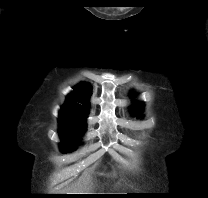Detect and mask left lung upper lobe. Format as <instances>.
I'll return each mask as SVG.
<instances>
[{
    "mask_svg": "<svg viewBox=\"0 0 208 198\" xmlns=\"http://www.w3.org/2000/svg\"><path fill=\"white\" fill-rule=\"evenodd\" d=\"M143 104L142 103H136L135 105L132 106V112L134 114L140 113V110L142 109Z\"/></svg>",
    "mask_w": 208,
    "mask_h": 198,
    "instance_id": "5c2ea615",
    "label": "left lung upper lobe"
}]
</instances>
